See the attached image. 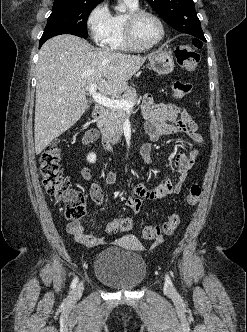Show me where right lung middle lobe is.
Masks as SVG:
<instances>
[{"label":"right lung middle lobe","instance_id":"dd1d6c3e","mask_svg":"<svg viewBox=\"0 0 247 332\" xmlns=\"http://www.w3.org/2000/svg\"><path fill=\"white\" fill-rule=\"evenodd\" d=\"M98 0H54L47 27L65 26L87 37V19Z\"/></svg>","mask_w":247,"mask_h":332}]
</instances>
